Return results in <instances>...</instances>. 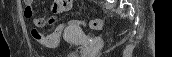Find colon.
Here are the masks:
<instances>
[{"label":"colon","instance_id":"5ec220e1","mask_svg":"<svg viewBox=\"0 0 172 57\" xmlns=\"http://www.w3.org/2000/svg\"><path fill=\"white\" fill-rule=\"evenodd\" d=\"M25 13L30 16L32 14L31 8L30 7H26L25 8ZM77 23L83 27H89L91 29H95V30H99L102 28V21L101 20H91V21H77ZM65 28V25H59L55 31L56 32H63Z\"/></svg>","mask_w":172,"mask_h":57}]
</instances>
